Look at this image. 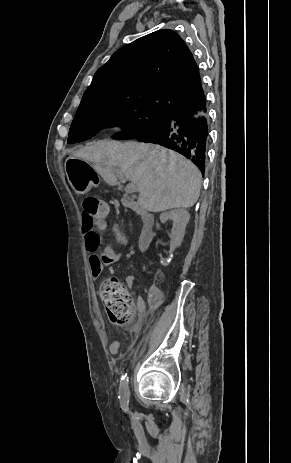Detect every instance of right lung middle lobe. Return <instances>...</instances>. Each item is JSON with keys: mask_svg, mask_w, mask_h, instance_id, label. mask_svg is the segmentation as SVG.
<instances>
[{"mask_svg": "<svg viewBox=\"0 0 291 463\" xmlns=\"http://www.w3.org/2000/svg\"><path fill=\"white\" fill-rule=\"evenodd\" d=\"M165 114L131 101H114L78 109L70 126L68 143H77L116 125L123 130L115 139H136L158 127Z\"/></svg>", "mask_w": 291, "mask_h": 463, "instance_id": "obj_1", "label": "right lung middle lobe"}]
</instances>
